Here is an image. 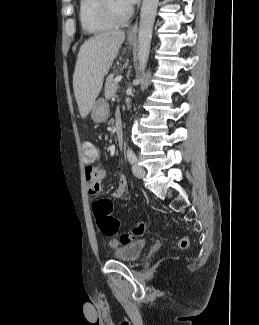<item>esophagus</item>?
Segmentation results:
<instances>
[{"label":"esophagus","instance_id":"34e87169","mask_svg":"<svg viewBox=\"0 0 259 325\" xmlns=\"http://www.w3.org/2000/svg\"><path fill=\"white\" fill-rule=\"evenodd\" d=\"M137 35V21L127 31L128 38H136Z\"/></svg>","mask_w":259,"mask_h":325}]
</instances>
